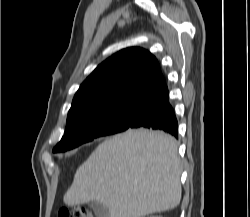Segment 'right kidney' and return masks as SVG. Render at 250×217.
I'll return each instance as SVG.
<instances>
[{
    "label": "right kidney",
    "mask_w": 250,
    "mask_h": 217,
    "mask_svg": "<svg viewBox=\"0 0 250 217\" xmlns=\"http://www.w3.org/2000/svg\"><path fill=\"white\" fill-rule=\"evenodd\" d=\"M152 217H161V216H152Z\"/></svg>",
    "instance_id": "obj_1"
}]
</instances>
